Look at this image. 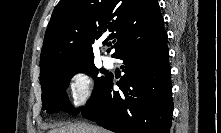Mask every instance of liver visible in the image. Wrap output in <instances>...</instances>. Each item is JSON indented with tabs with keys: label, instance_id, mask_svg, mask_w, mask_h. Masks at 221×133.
<instances>
[{
	"label": "liver",
	"instance_id": "1",
	"mask_svg": "<svg viewBox=\"0 0 221 133\" xmlns=\"http://www.w3.org/2000/svg\"><path fill=\"white\" fill-rule=\"evenodd\" d=\"M48 133H108L106 130L85 123H69L51 129Z\"/></svg>",
	"mask_w": 221,
	"mask_h": 133
}]
</instances>
